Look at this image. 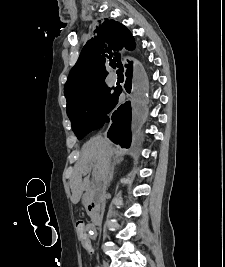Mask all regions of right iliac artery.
I'll use <instances>...</instances> for the list:
<instances>
[{
    "label": "right iliac artery",
    "mask_w": 225,
    "mask_h": 267,
    "mask_svg": "<svg viewBox=\"0 0 225 267\" xmlns=\"http://www.w3.org/2000/svg\"><path fill=\"white\" fill-rule=\"evenodd\" d=\"M90 234H93V231H90ZM97 267H99V266H97Z\"/></svg>",
    "instance_id": "obj_1"
}]
</instances>
